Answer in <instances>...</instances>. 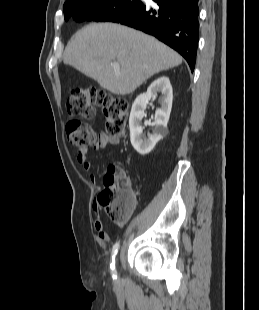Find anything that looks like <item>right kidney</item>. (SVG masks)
<instances>
[{
	"label": "right kidney",
	"instance_id": "1",
	"mask_svg": "<svg viewBox=\"0 0 259 310\" xmlns=\"http://www.w3.org/2000/svg\"><path fill=\"white\" fill-rule=\"evenodd\" d=\"M162 94L161 108L155 112L154 129L148 138H142L143 127L141 120L148 102L157 94ZM173 100V91L170 80L166 76L156 79L148 87L147 92L139 95L131 109L129 117L130 140L134 149L141 155H146L153 150L156 143L167 134V123L169 120Z\"/></svg>",
	"mask_w": 259,
	"mask_h": 310
}]
</instances>
